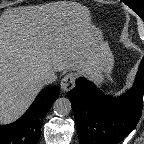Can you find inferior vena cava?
I'll list each match as a JSON object with an SVG mask.
<instances>
[{
    "label": "inferior vena cava",
    "mask_w": 144,
    "mask_h": 144,
    "mask_svg": "<svg viewBox=\"0 0 144 144\" xmlns=\"http://www.w3.org/2000/svg\"><path fill=\"white\" fill-rule=\"evenodd\" d=\"M57 75L55 72L49 71L42 75L41 81L43 84H49L56 81Z\"/></svg>",
    "instance_id": "1"
}]
</instances>
